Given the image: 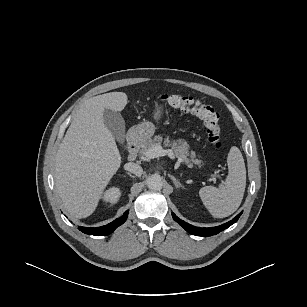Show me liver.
<instances>
[{
	"label": "liver",
	"mask_w": 307,
	"mask_h": 307,
	"mask_svg": "<svg viewBox=\"0 0 307 307\" xmlns=\"http://www.w3.org/2000/svg\"><path fill=\"white\" fill-rule=\"evenodd\" d=\"M128 98L110 92L84 102L63 138L55 161V186L64 208L76 218L90 216L121 165L114 136L105 126V109L122 111Z\"/></svg>",
	"instance_id": "6515ba94"
}]
</instances>
